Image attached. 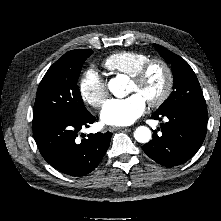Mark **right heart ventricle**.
Instances as JSON below:
<instances>
[{"instance_id":"e07e8e85","label":"right heart ventricle","mask_w":221,"mask_h":221,"mask_svg":"<svg viewBox=\"0 0 221 221\" xmlns=\"http://www.w3.org/2000/svg\"><path fill=\"white\" fill-rule=\"evenodd\" d=\"M149 59L148 55L141 52L120 51L108 56L103 66L111 72L132 76Z\"/></svg>"}]
</instances>
